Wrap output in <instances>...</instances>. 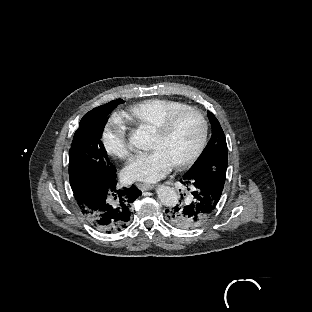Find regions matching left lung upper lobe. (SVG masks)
<instances>
[{
  "instance_id": "obj_1",
  "label": "left lung upper lobe",
  "mask_w": 312,
  "mask_h": 312,
  "mask_svg": "<svg viewBox=\"0 0 312 312\" xmlns=\"http://www.w3.org/2000/svg\"><path fill=\"white\" fill-rule=\"evenodd\" d=\"M212 125V136L203 153L194 166L183 176L185 180H193L214 173H226L227 145L224 132L216 117L207 112Z\"/></svg>"
}]
</instances>
